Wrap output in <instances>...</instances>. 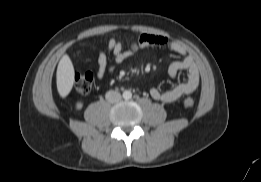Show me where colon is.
I'll list each match as a JSON object with an SVG mask.
<instances>
[{
	"mask_svg": "<svg viewBox=\"0 0 261 182\" xmlns=\"http://www.w3.org/2000/svg\"><path fill=\"white\" fill-rule=\"evenodd\" d=\"M81 56V54H79ZM75 89L82 94H88L93 88V76L91 73L77 74L74 79ZM186 107H192L195 100L192 97H186L183 101Z\"/></svg>",
	"mask_w": 261,
	"mask_h": 182,
	"instance_id": "5ec220e1",
	"label": "colon"
}]
</instances>
